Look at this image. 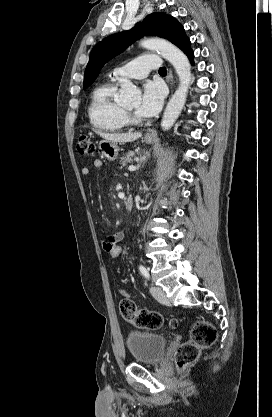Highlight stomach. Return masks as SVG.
<instances>
[{"label": "stomach", "instance_id": "obj_1", "mask_svg": "<svg viewBox=\"0 0 272 417\" xmlns=\"http://www.w3.org/2000/svg\"><path fill=\"white\" fill-rule=\"evenodd\" d=\"M144 142L152 144L154 142V138L145 137ZM99 149L108 161H114L118 158L119 147L117 142L102 140L99 142Z\"/></svg>", "mask_w": 272, "mask_h": 417}]
</instances>
